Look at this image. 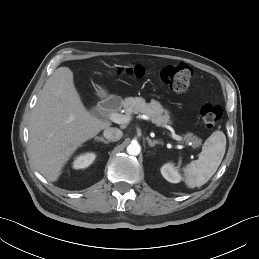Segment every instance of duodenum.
<instances>
[{
    "label": "duodenum",
    "mask_w": 259,
    "mask_h": 259,
    "mask_svg": "<svg viewBox=\"0 0 259 259\" xmlns=\"http://www.w3.org/2000/svg\"><path fill=\"white\" fill-rule=\"evenodd\" d=\"M121 106V101L117 98H105L99 103V108L102 111L110 112L112 110H117Z\"/></svg>",
    "instance_id": "410a0bca"
}]
</instances>
